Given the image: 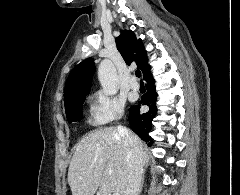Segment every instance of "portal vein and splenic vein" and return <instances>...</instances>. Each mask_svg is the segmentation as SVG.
I'll list each match as a JSON object with an SVG mask.
<instances>
[{"mask_svg":"<svg viewBox=\"0 0 240 195\" xmlns=\"http://www.w3.org/2000/svg\"><path fill=\"white\" fill-rule=\"evenodd\" d=\"M113 195H120V193H113Z\"/></svg>","mask_w":240,"mask_h":195,"instance_id":"18ae733b","label":"portal vein and splenic vein"}]
</instances>
